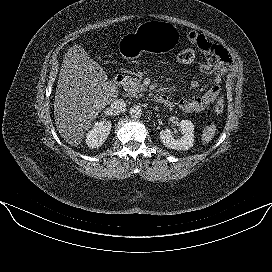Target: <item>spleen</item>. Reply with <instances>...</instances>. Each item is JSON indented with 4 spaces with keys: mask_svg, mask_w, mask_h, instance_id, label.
Wrapping results in <instances>:
<instances>
[{
    "mask_svg": "<svg viewBox=\"0 0 272 272\" xmlns=\"http://www.w3.org/2000/svg\"><path fill=\"white\" fill-rule=\"evenodd\" d=\"M215 132H216L215 125L205 127L201 135L202 144L207 145L208 143H210L214 138Z\"/></svg>",
    "mask_w": 272,
    "mask_h": 272,
    "instance_id": "1",
    "label": "spleen"
}]
</instances>
